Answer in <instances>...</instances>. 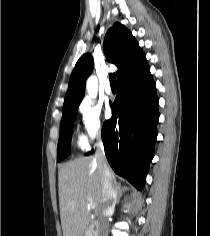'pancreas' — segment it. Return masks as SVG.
Listing matches in <instances>:
<instances>
[{
  "label": "pancreas",
  "instance_id": "1",
  "mask_svg": "<svg viewBox=\"0 0 210 236\" xmlns=\"http://www.w3.org/2000/svg\"><path fill=\"white\" fill-rule=\"evenodd\" d=\"M85 236H97V231L93 227H89L85 231Z\"/></svg>",
  "mask_w": 210,
  "mask_h": 236
}]
</instances>
